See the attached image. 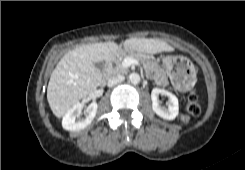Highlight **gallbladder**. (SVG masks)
Instances as JSON below:
<instances>
[{"label":"gallbladder","instance_id":"bac80fb5","mask_svg":"<svg viewBox=\"0 0 245 170\" xmlns=\"http://www.w3.org/2000/svg\"><path fill=\"white\" fill-rule=\"evenodd\" d=\"M95 67L100 69V70H103L104 68V63L103 62H96L95 63Z\"/></svg>","mask_w":245,"mask_h":170}]
</instances>
